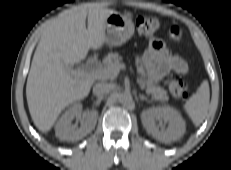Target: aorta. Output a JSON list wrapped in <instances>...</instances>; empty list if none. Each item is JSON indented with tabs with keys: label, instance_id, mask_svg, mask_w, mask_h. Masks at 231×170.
<instances>
[{
	"label": "aorta",
	"instance_id": "762f6f07",
	"mask_svg": "<svg viewBox=\"0 0 231 170\" xmlns=\"http://www.w3.org/2000/svg\"><path fill=\"white\" fill-rule=\"evenodd\" d=\"M118 101L122 104L128 105L132 102V96L128 92L120 93L118 95Z\"/></svg>",
	"mask_w": 231,
	"mask_h": 170
}]
</instances>
